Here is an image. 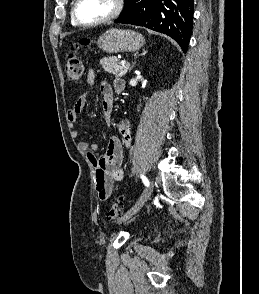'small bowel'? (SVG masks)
Instances as JSON below:
<instances>
[{
    "label": "small bowel",
    "mask_w": 259,
    "mask_h": 294,
    "mask_svg": "<svg viewBox=\"0 0 259 294\" xmlns=\"http://www.w3.org/2000/svg\"><path fill=\"white\" fill-rule=\"evenodd\" d=\"M95 74L90 71L87 75V84H93ZM124 81L120 78L114 80L113 86L106 82L100 84L101 110L104 118L111 123V112L113 108V94L120 93L124 89ZM88 92L81 94L76 100L75 104L68 110L67 117L69 122L73 125L78 115L84 109L87 103ZM121 138L112 136L108 142L107 149L101 156H96V146H90L87 142H80L81 150L86 154L95 169L96 190L100 200H107L113 190L114 183L120 182L124 178V171L122 169L123 148L129 147L131 143V128L127 118L123 117L120 120ZM79 132L77 129L72 130V137L77 138Z\"/></svg>",
    "instance_id": "obj_1"
}]
</instances>
